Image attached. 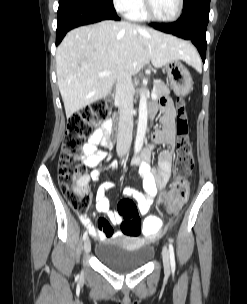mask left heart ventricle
<instances>
[{"instance_id":"left-heart-ventricle-1","label":"left heart ventricle","mask_w":247,"mask_h":304,"mask_svg":"<svg viewBox=\"0 0 247 304\" xmlns=\"http://www.w3.org/2000/svg\"><path fill=\"white\" fill-rule=\"evenodd\" d=\"M153 13L162 19L172 17L178 8V0H149Z\"/></svg>"}]
</instances>
